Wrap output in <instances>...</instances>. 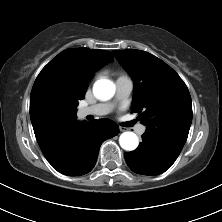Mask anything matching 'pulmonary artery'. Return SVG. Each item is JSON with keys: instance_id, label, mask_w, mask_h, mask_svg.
Returning <instances> with one entry per match:
<instances>
[{"instance_id": "pulmonary-artery-1", "label": "pulmonary artery", "mask_w": 222, "mask_h": 222, "mask_svg": "<svg viewBox=\"0 0 222 222\" xmlns=\"http://www.w3.org/2000/svg\"><path fill=\"white\" fill-rule=\"evenodd\" d=\"M132 89V79L128 76H120L116 80V95L114 101L98 103L92 106L81 108L79 110V115L81 117H85L88 115L102 116L109 114L113 110L115 103L125 100L132 92ZM136 130L138 134H143L146 130V127L144 125H139Z\"/></svg>"}]
</instances>
